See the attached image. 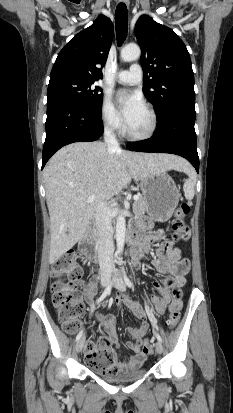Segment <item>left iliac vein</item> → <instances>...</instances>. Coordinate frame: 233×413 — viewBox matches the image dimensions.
Listing matches in <instances>:
<instances>
[{"label":"left iliac vein","mask_w":233,"mask_h":413,"mask_svg":"<svg viewBox=\"0 0 233 413\" xmlns=\"http://www.w3.org/2000/svg\"><path fill=\"white\" fill-rule=\"evenodd\" d=\"M115 277L117 278V280L114 282V286L120 291H126V284L121 278L118 271H115ZM155 348L158 354H161L163 352V345L160 341L156 342Z\"/></svg>","instance_id":"left-iliac-vein-1"}]
</instances>
